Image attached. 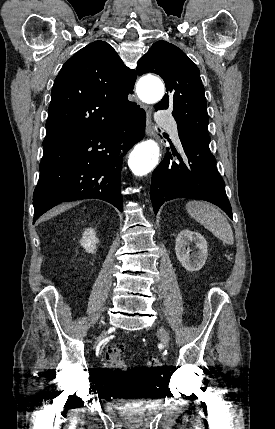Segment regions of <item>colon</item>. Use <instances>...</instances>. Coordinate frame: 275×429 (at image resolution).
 <instances>
[{
	"label": "colon",
	"mask_w": 275,
	"mask_h": 429,
	"mask_svg": "<svg viewBox=\"0 0 275 429\" xmlns=\"http://www.w3.org/2000/svg\"><path fill=\"white\" fill-rule=\"evenodd\" d=\"M109 365L115 370L118 375H125L127 369L124 365V350L121 345L114 346L108 353L107 357ZM150 368L158 369L161 367V362L158 358H150L147 361Z\"/></svg>",
	"instance_id": "colon-1"
}]
</instances>
